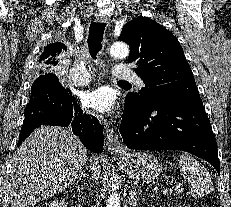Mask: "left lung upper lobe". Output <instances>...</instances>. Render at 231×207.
Masks as SVG:
<instances>
[{
    "instance_id": "obj_1",
    "label": "left lung upper lobe",
    "mask_w": 231,
    "mask_h": 207,
    "mask_svg": "<svg viewBox=\"0 0 231 207\" xmlns=\"http://www.w3.org/2000/svg\"><path fill=\"white\" fill-rule=\"evenodd\" d=\"M118 39L129 44L128 62L145 83L139 93H128L127 104L144 108L200 99L183 49L166 28L140 16L125 24Z\"/></svg>"
}]
</instances>
